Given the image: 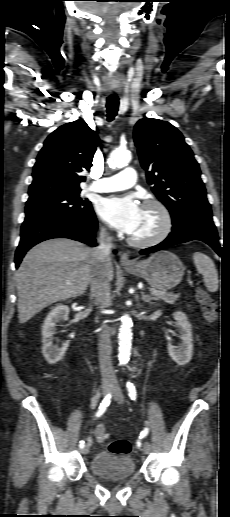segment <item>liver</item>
Here are the masks:
<instances>
[{"mask_svg":"<svg viewBox=\"0 0 230 517\" xmlns=\"http://www.w3.org/2000/svg\"><path fill=\"white\" fill-rule=\"evenodd\" d=\"M97 265L94 249L73 240L51 239L34 246L15 274L19 322L26 323L52 303L81 296ZM108 275L111 281L112 263Z\"/></svg>","mask_w":230,"mask_h":517,"instance_id":"6515ba94","label":"liver"}]
</instances>
